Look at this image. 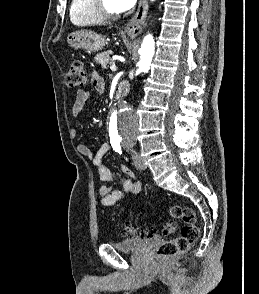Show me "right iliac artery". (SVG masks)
I'll return each mask as SVG.
<instances>
[{
	"mask_svg": "<svg viewBox=\"0 0 259 294\" xmlns=\"http://www.w3.org/2000/svg\"><path fill=\"white\" fill-rule=\"evenodd\" d=\"M111 145L116 152H118L119 154H122L121 147H120L119 143L111 142Z\"/></svg>",
	"mask_w": 259,
	"mask_h": 294,
	"instance_id": "obj_1",
	"label": "right iliac artery"
}]
</instances>
